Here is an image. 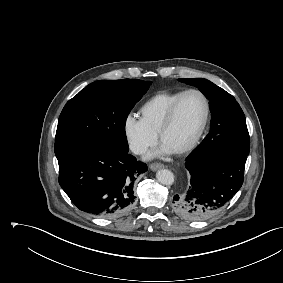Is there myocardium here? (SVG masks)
Returning <instances> with one entry per match:
<instances>
[{"instance_id": "1", "label": "myocardium", "mask_w": 283, "mask_h": 283, "mask_svg": "<svg viewBox=\"0 0 283 283\" xmlns=\"http://www.w3.org/2000/svg\"><path fill=\"white\" fill-rule=\"evenodd\" d=\"M190 94H197L199 95L203 101H204V105H205V114H204V118L202 121V124L196 134V136L194 137V139L184 148L176 151V154L182 155V154H186L191 152L192 150H194L200 143L206 129L207 126L209 124L210 121V116H211V105H210V101L209 98L207 97V95L202 92L199 89H188L185 90L172 104V106L170 107L163 124L161 125V128L158 132V137L160 139V141L163 142V137L165 135V133L170 129V127L173 125L178 108L181 104V102L183 101V99L190 95Z\"/></svg>"}]
</instances>
